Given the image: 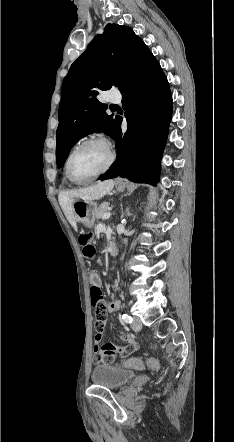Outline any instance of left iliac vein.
Listing matches in <instances>:
<instances>
[{"label": "left iliac vein", "mask_w": 234, "mask_h": 442, "mask_svg": "<svg viewBox=\"0 0 234 442\" xmlns=\"http://www.w3.org/2000/svg\"><path fill=\"white\" fill-rule=\"evenodd\" d=\"M131 327L135 331L140 330L142 328V322H141L140 318L134 317L133 321L131 323Z\"/></svg>", "instance_id": "4c4485c4"}]
</instances>
